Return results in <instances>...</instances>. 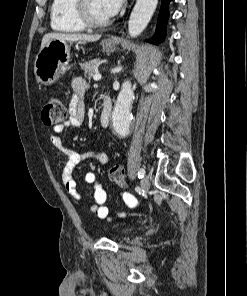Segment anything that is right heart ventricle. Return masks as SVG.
I'll list each match as a JSON object with an SVG mask.
<instances>
[{"mask_svg":"<svg viewBox=\"0 0 247 296\" xmlns=\"http://www.w3.org/2000/svg\"><path fill=\"white\" fill-rule=\"evenodd\" d=\"M74 0H52L50 5V26L59 33H78L84 27L74 16Z\"/></svg>","mask_w":247,"mask_h":296,"instance_id":"right-heart-ventricle-1","label":"right heart ventricle"}]
</instances>
